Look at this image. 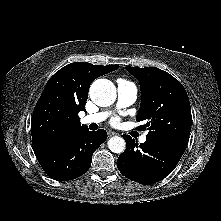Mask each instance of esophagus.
I'll return each mask as SVG.
<instances>
[{
  "label": "esophagus",
  "mask_w": 221,
  "mask_h": 221,
  "mask_svg": "<svg viewBox=\"0 0 221 221\" xmlns=\"http://www.w3.org/2000/svg\"><path fill=\"white\" fill-rule=\"evenodd\" d=\"M115 135H118V133H116L114 131H109L108 132V137L115 136Z\"/></svg>",
  "instance_id": "1"
}]
</instances>
